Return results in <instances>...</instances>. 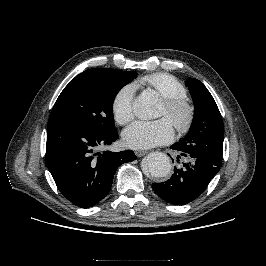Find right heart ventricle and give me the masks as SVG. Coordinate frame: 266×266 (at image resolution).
Here are the masks:
<instances>
[{
    "label": "right heart ventricle",
    "instance_id": "obj_1",
    "mask_svg": "<svg viewBox=\"0 0 266 266\" xmlns=\"http://www.w3.org/2000/svg\"><path fill=\"white\" fill-rule=\"evenodd\" d=\"M137 85H146L155 90L163 98L186 97L185 86L173 75L153 73L139 79Z\"/></svg>",
    "mask_w": 266,
    "mask_h": 266
}]
</instances>
